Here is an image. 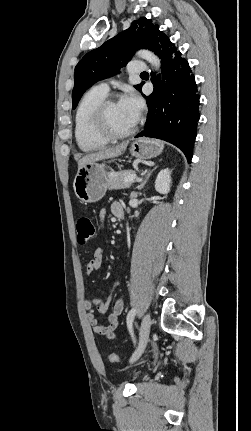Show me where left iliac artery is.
I'll list each match as a JSON object with an SVG mask.
<instances>
[{
	"label": "left iliac artery",
	"instance_id": "1",
	"mask_svg": "<svg viewBox=\"0 0 251 431\" xmlns=\"http://www.w3.org/2000/svg\"><path fill=\"white\" fill-rule=\"evenodd\" d=\"M135 315H136V309L135 308H132L127 315V327H128V330H129L131 336L133 337V340H134V336H133L132 323H133Z\"/></svg>",
	"mask_w": 251,
	"mask_h": 431
}]
</instances>
